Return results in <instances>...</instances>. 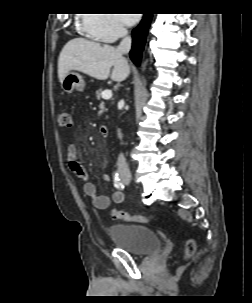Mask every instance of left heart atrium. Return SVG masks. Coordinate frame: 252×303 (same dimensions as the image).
Listing matches in <instances>:
<instances>
[{
    "mask_svg": "<svg viewBox=\"0 0 252 303\" xmlns=\"http://www.w3.org/2000/svg\"><path fill=\"white\" fill-rule=\"evenodd\" d=\"M121 20L126 24V25H134L139 18L138 14H120Z\"/></svg>",
    "mask_w": 252,
    "mask_h": 303,
    "instance_id": "left-heart-atrium-1",
    "label": "left heart atrium"
}]
</instances>
